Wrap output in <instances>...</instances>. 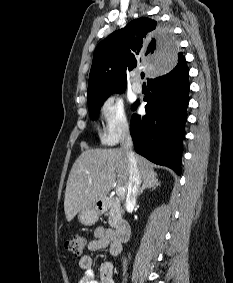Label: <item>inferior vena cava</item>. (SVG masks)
Segmentation results:
<instances>
[{
  "label": "inferior vena cava",
  "instance_id": "1",
  "mask_svg": "<svg viewBox=\"0 0 233 283\" xmlns=\"http://www.w3.org/2000/svg\"><path fill=\"white\" fill-rule=\"evenodd\" d=\"M132 138L127 130L122 139V148L127 152L129 167H130V176H129V185L126 198V207L135 206L136 198L138 194V189L141 184V177L137 168V162L135 155L132 151Z\"/></svg>",
  "mask_w": 233,
  "mask_h": 283
}]
</instances>
